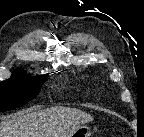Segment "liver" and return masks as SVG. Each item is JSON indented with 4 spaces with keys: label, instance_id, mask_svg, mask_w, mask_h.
I'll return each mask as SVG.
<instances>
[{
    "label": "liver",
    "instance_id": "obj_1",
    "mask_svg": "<svg viewBox=\"0 0 144 137\" xmlns=\"http://www.w3.org/2000/svg\"><path fill=\"white\" fill-rule=\"evenodd\" d=\"M91 121L90 114L70 107L28 109L0 122V137H69L75 129Z\"/></svg>",
    "mask_w": 144,
    "mask_h": 137
}]
</instances>
